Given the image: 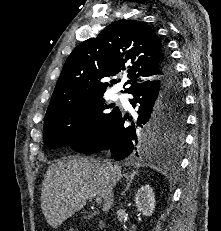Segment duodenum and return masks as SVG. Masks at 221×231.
<instances>
[{
	"instance_id": "obj_1",
	"label": "duodenum",
	"mask_w": 221,
	"mask_h": 231,
	"mask_svg": "<svg viewBox=\"0 0 221 231\" xmlns=\"http://www.w3.org/2000/svg\"><path fill=\"white\" fill-rule=\"evenodd\" d=\"M99 226L102 228V226H103L102 222H99Z\"/></svg>"
}]
</instances>
